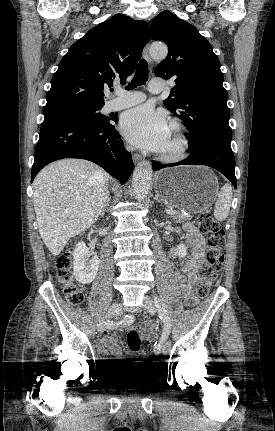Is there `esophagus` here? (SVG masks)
Instances as JSON below:
<instances>
[{
    "mask_svg": "<svg viewBox=\"0 0 275 431\" xmlns=\"http://www.w3.org/2000/svg\"><path fill=\"white\" fill-rule=\"evenodd\" d=\"M149 47H150V43H147L146 46L144 47L143 54H144V57L146 58V60L149 63H152V58H151V55H150ZM141 159H142V156L140 154H134L133 155V160H134L135 163H137Z\"/></svg>",
    "mask_w": 275,
    "mask_h": 431,
    "instance_id": "34e87169",
    "label": "esophagus"
}]
</instances>
